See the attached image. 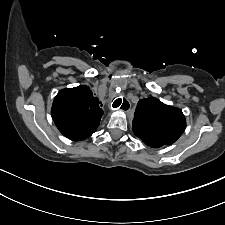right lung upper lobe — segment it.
Segmentation results:
<instances>
[{
	"label": "right lung upper lobe",
	"mask_w": 225,
	"mask_h": 225,
	"mask_svg": "<svg viewBox=\"0 0 225 225\" xmlns=\"http://www.w3.org/2000/svg\"><path fill=\"white\" fill-rule=\"evenodd\" d=\"M100 104L85 85L62 89L54 98L51 115L64 136L80 141L96 131L103 115Z\"/></svg>",
	"instance_id": "cb5924a9"
}]
</instances>
